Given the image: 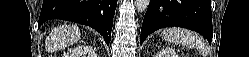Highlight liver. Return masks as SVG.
<instances>
[{"label":"liver","instance_id":"liver-1","mask_svg":"<svg viewBox=\"0 0 249 57\" xmlns=\"http://www.w3.org/2000/svg\"><path fill=\"white\" fill-rule=\"evenodd\" d=\"M81 33L77 25H60L52 29L46 40L47 51L64 49L67 46L77 43Z\"/></svg>","mask_w":249,"mask_h":57}]
</instances>
